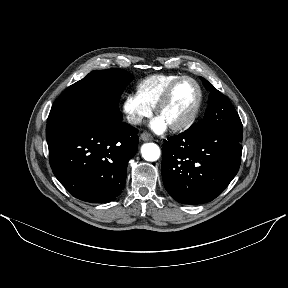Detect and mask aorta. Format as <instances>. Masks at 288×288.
I'll use <instances>...</instances> for the list:
<instances>
[{
    "instance_id": "762f6f07",
    "label": "aorta",
    "mask_w": 288,
    "mask_h": 288,
    "mask_svg": "<svg viewBox=\"0 0 288 288\" xmlns=\"http://www.w3.org/2000/svg\"><path fill=\"white\" fill-rule=\"evenodd\" d=\"M141 154H142V157L146 161L153 162V161H156L160 158L161 151H160V148L157 144L146 143V144H143L141 147Z\"/></svg>"
}]
</instances>
